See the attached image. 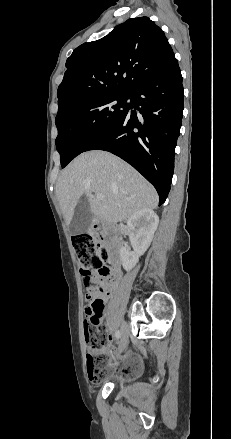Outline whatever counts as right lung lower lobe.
<instances>
[{
  "label": "right lung lower lobe",
  "mask_w": 231,
  "mask_h": 439,
  "mask_svg": "<svg viewBox=\"0 0 231 439\" xmlns=\"http://www.w3.org/2000/svg\"><path fill=\"white\" fill-rule=\"evenodd\" d=\"M183 99L181 71L174 59L131 93L129 110L84 151L105 150L128 162L156 188L163 204L174 171Z\"/></svg>",
  "instance_id": "right-lung-lower-lobe-1"
}]
</instances>
